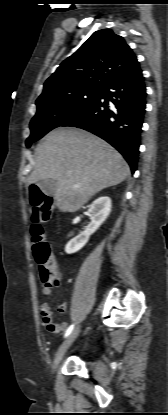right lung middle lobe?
<instances>
[{
  "mask_svg": "<svg viewBox=\"0 0 168 415\" xmlns=\"http://www.w3.org/2000/svg\"><path fill=\"white\" fill-rule=\"evenodd\" d=\"M102 92V89H84L38 104L30 122L31 135L26 140V146L29 148L46 133L90 107Z\"/></svg>",
  "mask_w": 168,
  "mask_h": 415,
  "instance_id": "1",
  "label": "right lung middle lobe"
}]
</instances>
